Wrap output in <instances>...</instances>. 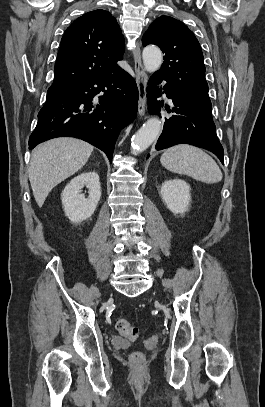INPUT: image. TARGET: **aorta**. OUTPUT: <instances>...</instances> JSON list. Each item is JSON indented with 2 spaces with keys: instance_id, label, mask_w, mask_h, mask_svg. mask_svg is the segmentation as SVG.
<instances>
[{
  "instance_id": "762f6f07",
  "label": "aorta",
  "mask_w": 265,
  "mask_h": 407,
  "mask_svg": "<svg viewBox=\"0 0 265 407\" xmlns=\"http://www.w3.org/2000/svg\"><path fill=\"white\" fill-rule=\"evenodd\" d=\"M162 52L156 47H146L143 50V63L148 72L157 71L162 64ZM161 121L158 118L149 119L132 137V153L146 150L158 137Z\"/></svg>"
}]
</instances>
